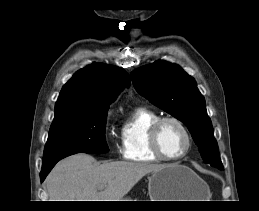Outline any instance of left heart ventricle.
Instances as JSON below:
<instances>
[{
  "mask_svg": "<svg viewBox=\"0 0 259 211\" xmlns=\"http://www.w3.org/2000/svg\"><path fill=\"white\" fill-rule=\"evenodd\" d=\"M160 143L164 153L171 157L181 154L187 146L184 132L173 122L163 125L160 132Z\"/></svg>",
  "mask_w": 259,
  "mask_h": 211,
  "instance_id": "1",
  "label": "left heart ventricle"
}]
</instances>
